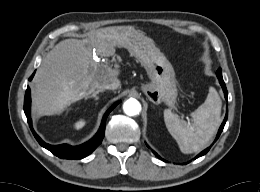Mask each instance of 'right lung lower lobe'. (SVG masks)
<instances>
[{
    "instance_id": "1",
    "label": "right lung lower lobe",
    "mask_w": 260,
    "mask_h": 192,
    "mask_svg": "<svg viewBox=\"0 0 260 192\" xmlns=\"http://www.w3.org/2000/svg\"><path fill=\"white\" fill-rule=\"evenodd\" d=\"M35 72L33 75L29 78L31 80L34 76ZM119 103L116 102L109 110L104 114L101 126L96 133V135L90 139L88 142L79 145V146H70L67 144H61V145H49L45 143L33 130L32 128V121L30 117V104H31V97H30V88L28 87L25 93V98H24V112L27 117V121L29 123L30 129L36 138V140L39 142L41 146L44 148L48 149L50 152H52L54 155L58 156L59 158L63 159H82L86 156H88L90 153H92L97 146L102 142L104 138V133H105V123H106V118L109 115V113L114 109V107Z\"/></svg>"
}]
</instances>
